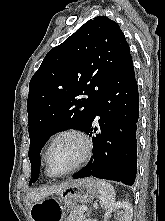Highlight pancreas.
<instances>
[{
  "label": "pancreas",
  "mask_w": 165,
  "mask_h": 221,
  "mask_svg": "<svg viewBox=\"0 0 165 221\" xmlns=\"http://www.w3.org/2000/svg\"><path fill=\"white\" fill-rule=\"evenodd\" d=\"M84 211L80 206H76L73 208L70 215L67 217V221H84Z\"/></svg>",
  "instance_id": "1"
}]
</instances>
